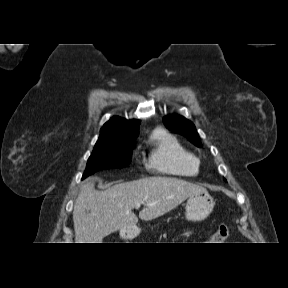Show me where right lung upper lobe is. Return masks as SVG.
I'll return each instance as SVG.
<instances>
[{
  "label": "right lung upper lobe",
  "mask_w": 288,
  "mask_h": 288,
  "mask_svg": "<svg viewBox=\"0 0 288 288\" xmlns=\"http://www.w3.org/2000/svg\"><path fill=\"white\" fill-rule=\"evenodd\" d=\"M139 124L140 121L138 120H126L114 116L101 128L98 141L119 136L134 140L137 136Z\"/></svg>",
  "instance_id": "1"
}]
</instances>
